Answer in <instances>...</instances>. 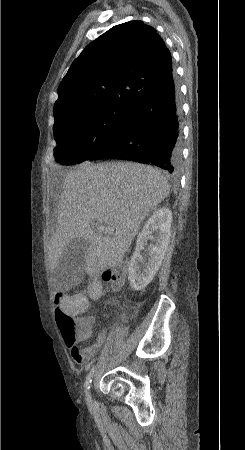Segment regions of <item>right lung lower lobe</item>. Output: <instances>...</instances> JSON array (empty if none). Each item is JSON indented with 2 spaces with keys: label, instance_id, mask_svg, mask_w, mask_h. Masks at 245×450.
<instances>
[{
  "label": "right lung lower lobe",
  "instance_id": "98d812e1",
  "mask_svg": "<svg viewBox=\"0 0 245 450\" xmlns=\"http://www.w3.org/2000/svg\"><path fill=\"white\" fill-rule=\"evenodd\" d=\"M180 114L179 91L172 72L132 106L121 136L88 160H131L177 174L182 157Z\"/></svg>",
  "mask_w": 245,
  "mask_h": 450
}]
</instances>
